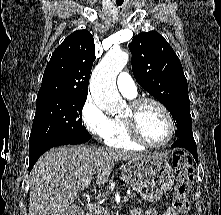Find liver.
<instances>
[{"label": "liver", "mask_w": 221, "mask_h": 215, "mask_svg": "<svg viewBox=\"0 0 221 215\" xmlns=\"http://www.w3.org/2000/svg\"><path fill=\"white\" fill-rule=\"evenodd\" d=\"M145 156L86 145L51 149L38 159L30 173L28 215L65 214L91 182L94 187L104 184L118 161Z\"/></svg>", "instance_id": "1"}]
</instances>
